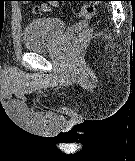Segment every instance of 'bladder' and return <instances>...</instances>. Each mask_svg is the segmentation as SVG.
<instances>
[{
	"mask_svg": "<svg viewBox=\"0 0 135 161\" xmlns=\"http://www.w3.org/2000/svg\"><path fill=\"white\" fill-rule=\"evenodd\" d=\"M64 32L65 24L59 18H35L23 31V45L30 51L49 49L59 42Z\"/></svg>",
	"mask_w": 135,
	"mask_h": 161,
	"instance_id": "1",
	"label": "bladder"
}]
</instances>
